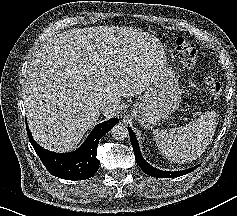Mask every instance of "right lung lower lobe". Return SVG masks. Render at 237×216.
<instances>
[{"label":"right lung lower lobe","mask_w":237,"mask_h":216,"mask_svg":"<svg viewBox=\"0 0 237 216\" xmlns=\"http://www.w3.org/2000/svg\"><path fill=\"white\" fill-rule=\"evenodd\" d=\"M117 118L98 124L90 133L81 148L75 152L59 154L43 149L33 139L26 122L27 134L35 152L50 174L67 180H84L98 170L100 161L96 158L100 138L115 124Z\"/></svg>","instance_id":"98d812e1"}]
</instances>
